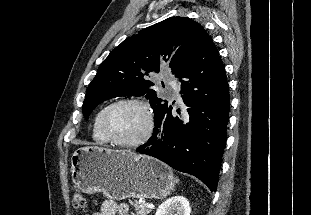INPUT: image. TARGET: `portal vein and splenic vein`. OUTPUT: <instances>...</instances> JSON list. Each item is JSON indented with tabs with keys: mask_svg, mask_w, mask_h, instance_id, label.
<instances>
[{
	"mask_svg": "<svg viewBox=\"0 0 311 215\" xmlns=\"http://www.w3.org/2000/svg\"><path fill=\"white\" fill-rule=\"evenodd\" d=\"M147 207L150 208V209H152V208H154V205L151 204V203H148Z\"/></svg>",
	"mask_w": 311,
	"mask_h": 215,
	"instance_id": "1",
	"label": "portal vein and splenic vein"
}]
</instances>
